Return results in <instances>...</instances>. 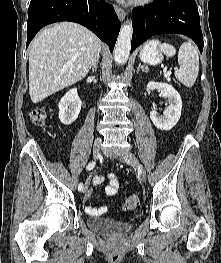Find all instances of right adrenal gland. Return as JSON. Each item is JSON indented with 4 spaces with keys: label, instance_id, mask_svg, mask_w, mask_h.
I'll return each mask as SVG.
<instances>
[{
    "label": "right adrenal gland",
    "instance_id": "right-adrenal-gland-1",
    "mask_svg": "<svg viewBox=\"0 0 221 263\" xmlns=\"http://www.w3.org/2000/svg\"><path fill=\"white\" fill-rule=\"evenodd\" d=\"M98 63H99V58L94 62L91 72L93 73L94 71H97V67H98Z\"/></svg>",
    "mask_w": 221,
    "mask_h": 263
}]
</instances>
